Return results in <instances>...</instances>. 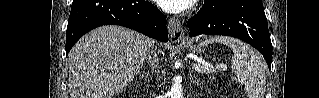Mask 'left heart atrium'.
Segmentation results:
<instances>
[{
  "label": "left heart atrium",
  "mask_w": 319,
  "mask_h": 98,
  "mask_svg": "<svg viewBox=\"0 0 319 98\" xmlns=\"http://www.w3.org/2000/svg\"><path fill=\"white\" fill-rule=\"evenodd\" d=\"M156 3L166 12L179 13L186 10L193 0H156Z\"/></svg>",
  "instance_id": "obj_1"
}]
</instances>
